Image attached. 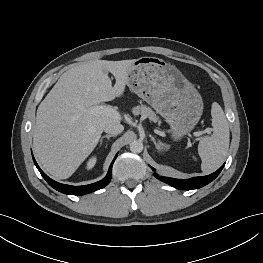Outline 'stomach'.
Listing matches in <instances>:
<instances>
[{"instance_id":"1","label":"stomach","mask_w":263,"mask_h":263,"mask_svg":"<svg viewBox=\"0 0 263 263\" xmlns=\"http://www.w3.org/2000/svg\"><path fill=\"white\" fill-rule=\"evenodd\" d=\"M127 85L165 119L174 140L188 134L201 118V95L180 70L163 59H135L128 70Z\"/></svg>"}]
</instances>
